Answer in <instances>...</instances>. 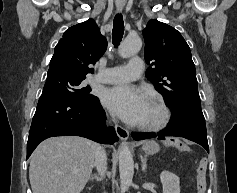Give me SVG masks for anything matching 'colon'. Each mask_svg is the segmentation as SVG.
<instances>
[{
	"instance_id": "1",
	"label": "colon",
	"mask_w": 237,
	"mask_h": 193,
	"mask_svg": "<svg viewBox=\"0 0 237 193\" xmlns=\"http://www.w3.org/2000/svg\"><path fill=\"white\" fill-rule=\"evenodd\" d=\"M167 143L181 151H186L188 149L187 143L183 142L178 138H170ZM208 161L206 158H201L197 164V179H198V193H204L206 189V171H207Z\"/></svg>"
}]
</instances>
